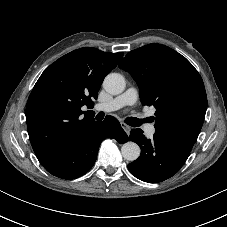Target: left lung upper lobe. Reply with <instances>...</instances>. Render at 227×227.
<instances>
[{
  "instance_id": "left-lung-upper-lobe-1",
  "label": "left lung upper lobe",
  "mask_w": 227,
  "mask_h": 227,
  "mask_svg": "<svg viewBox=\"0 0 227 227\" xmlns=\"http://www.w3.org/2000/svg\"><path fill=\"white\" fill-rule=\"evenodd\" d=\"M119 67L137 81L144 105H153L155 133L191 151L207 109L203 80L181 54L165 45L149 44L129 52Z\"/></svg>"
}]
</instances>
